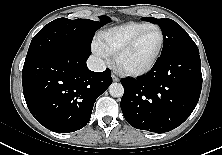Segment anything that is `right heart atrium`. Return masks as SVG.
<instances>
[{
    "mask_svg": "<svg viewBox=\"0 0 222 155\" xmlns=\"http://www.w3.org/2000/svg\"><path fill=\"white\" fill-rule=\"evenodd\" d=\"M93 52L100 58L106 59L108 57V53L105 52L102 47L99 45L97 41H94L93 43Z\"/></svg>",
    "mask_w": 222,
    "mask_h": 155,
    "instance_id": "d8ad5b80",
    "label": "right heart atrium"
}]
</instances>
